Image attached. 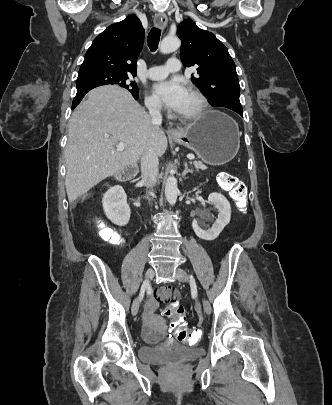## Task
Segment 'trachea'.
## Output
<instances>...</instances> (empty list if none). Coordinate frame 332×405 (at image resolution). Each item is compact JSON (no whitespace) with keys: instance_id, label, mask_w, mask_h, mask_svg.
Wrapping results in <instances>:
<instances>
[{"instance_id":"1","label":"trachea","mask_w":332,"mask_h":405,"mask_svg":"<svg viewBox=\"0 0 332 405\" xmlns=\"http://www.w3.org/2000/svg\"><path fill=\"white\" fill-rule=\"evenodd\" d=\"M161 30L158 28H152L148 34V47L152 52L156 51L158 48L160 40Z\"/></svg>"}]
</instances>
